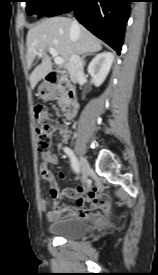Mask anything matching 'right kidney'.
<instances>
[{
  "label": "right kidney",
  "mask_w": 158,
  "mask_h": 275,
  "mask_svg": "<svg viewBox=\"0 0 158 275\" xmlns=\"http://www.w3.org/2000/svg\"><path fill=\"white\" fill-rule=\"evenodd\" d=\"M113 61L114 55L111 52H103L96 55L88 65V73L96 87H99L106 79Z\"/></svg>",
  "instance_id": "ca27d5eb"
}]
</instances>
